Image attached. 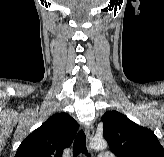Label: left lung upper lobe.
I'll return each instance as SVG.
<instances>
[{"instance_id":"1","label":"left lung upper lobe","mask_w":164,"mask_h":157,"mask_svg":"<svg viewBox=\"0 0 164 157\" xmlns=\"http://www.w3.org/2000/svg\"><path fill=\"white\" fill-rule=\"evenodd\" d=\"M103 134L116 157H164V148L151 130L117 111L103 116Z\"/></svg>"}]
</instances>
